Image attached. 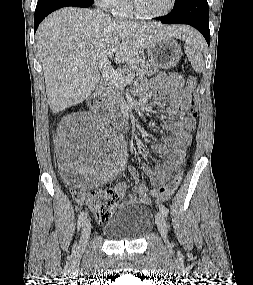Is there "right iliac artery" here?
<instances>
[{
	"instance_id": "right-iliac-artery-1",
	"label": "right iliac artery",
	"mask_w": 253,
	"mask_h": 285,
	"mask_svg": "<svg viewBox=\"0 0 253 285\" xmlns=\"http://www.w3.org/2000/svg\"><path fill=\"white\" fill-rule=\"evenodd\" d=\"M86 212L82 211L79 216H78V221H77V228L78 230H80V228L82 227L84 221H85V218H86Z\"/></svg>"
}]
</instances>
